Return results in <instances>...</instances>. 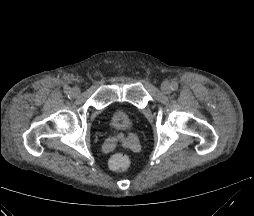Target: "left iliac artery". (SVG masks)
Segmentation results:
<instances>
[{"label":"left iliac artery","instance_id":"1","mask_svg":"<svg viewBox=\"0 0 254 216\" xmlns=\"http://www.w3.org/2000/svg\"><path fill=\"white\" fill-rule=\"evenodd\" d=\"M171 89H172V90H177V89H178V84H177L176 82H173V83L171 84Z\"/></svg>","mask_w":254,"mask_h":216}]
</instances>
